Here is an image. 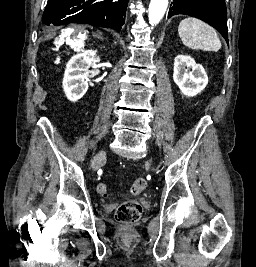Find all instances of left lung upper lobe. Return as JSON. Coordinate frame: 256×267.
I'll list each match as a JSON object with an SVG mask.
<instances>
[{
    "label": "left lung upper lobe",
    "instance_id": "obj_1",
    "mask_svg": "<svg viewBox=\"0 0 256 267\" xmlns=\"http://www.w3.org/2000/svg\"><path fill=\"white\" fill-rule=\"evenodd\" d=\"M177 14L189 15L210 24L221 33L228 44L224 0H174L168 18Z\"/></svg>",
    "mask_w": 256,
    "mask_h": 267
}]
</instances>
